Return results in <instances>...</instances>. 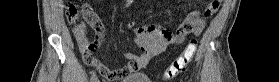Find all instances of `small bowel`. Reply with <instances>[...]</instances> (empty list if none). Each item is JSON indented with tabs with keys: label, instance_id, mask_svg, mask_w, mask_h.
Wrapping results in <instances>:
<instances>
[{
	"label": "small bowel",
	"instance_id": "1",
	"mask_svg": "<svg viewBox=\"0 0 279 82\" xmlns=\"http://www.w3.org/2000/svg\"><path fill=\"white\" fill-rule=\"evenodd\" d=\"M220 4H208L203 13L199 10L191 11L185 20L174 30L170 31L163 26H139L136 22H130L129 27L135 29L136 42L142 52L138 55L127 52L122 58L128 61L121 69L111 70L103 63L96 60L93 50L103 40L106 30L101 23L100 27L93 28L96 38L90 42L86 35V26H73L72 32L83 55L84 62L96 68L101 75L111 81L118 80L128 74L135 73L145 67L151 59L163 54L170 46L181 44L189 34L199 35L206 25V20L214 15ZM113 73H117L115 76Z\"/></svg>",
	"mask_w": 279,
	"mask_h": 82
}]
</instances>
